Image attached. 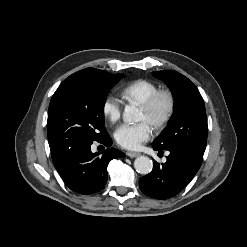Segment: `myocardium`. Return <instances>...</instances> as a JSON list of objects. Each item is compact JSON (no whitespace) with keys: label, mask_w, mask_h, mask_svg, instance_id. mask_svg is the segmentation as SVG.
Wrapping results in <instances>:
<instances>
[{"label":"myocardium","mask_w":247,"mask_h":247,"mask_svg":"<svg viewBox=\"0 0 247 247\" xmlns=\"http://www.w3.org/2000/svg\"><path fill=\"white\" fill-rule=\"evenodd\" d=\"M162 99L166 101V109L164 113L152 124L153 128L156 130L164 128L170 122L174 115L176 99L173 92H171L170 90H158L154 94H152L145 102L140 104L141 109H143L148 114H152L157 104Z\"/></svg>","instance_id":"obj_1"}]
</instances>
